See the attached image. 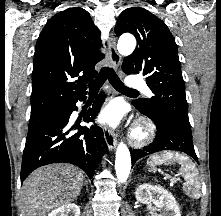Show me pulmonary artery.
Returning <instances> with one entry per match:
<instances>
[{"label":"pulmonary artery","instance_id":"1","mask_svg":"<svg viewBox=\"0 0 221 216\" xmlns=\"http://www.w3.org/2000/svg\"><path fill=\"white\" fill-rule=\"evenodd\" d=\"M127 85L131 89H142L144 92L148 95L151 96L150 90L147 88L146 83L144 80L138 78V77H130L127 79Z\"/></svg>","mask_w":221,"mask_h":216}]
</instances>
